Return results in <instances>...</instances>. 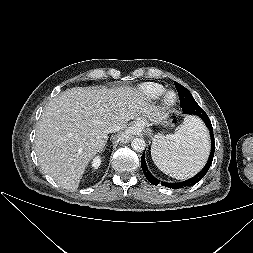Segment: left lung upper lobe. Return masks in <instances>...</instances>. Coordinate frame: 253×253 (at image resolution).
<instances>
[{"mask_svg": "<svg viewBox=\"0 0 253 253\" xmlns=\"http://www.w3.org/2000/svg\"><path fill=\"white\" fill-rule=\"evenodd\" d=\"M174 84L179 94L180 105L183 113L196 115V111L201 107L197 104L191 93L184 86L177 82H174Z\"/></svg>", "mask_w": 253, "mask_h": 253, "instance_id": "5c2ea615", "label": "left lung upper lobe"}]
</instances>
